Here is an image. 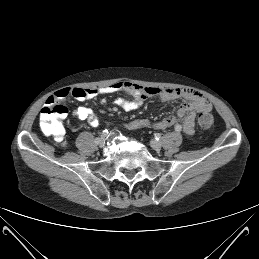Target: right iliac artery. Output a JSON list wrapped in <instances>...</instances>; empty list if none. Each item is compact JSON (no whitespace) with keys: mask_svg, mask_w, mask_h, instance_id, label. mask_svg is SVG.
<instances>
[{"mask_svg":"<svg viewBox=\"0 0 259 259\" xmlns=\"http://www.w3.org/2000/svg\"><path fill=\"white\" fill-rule=\"evenodd\" d=\"M99 136H97V135H95V136H93V138H92V140H93V142H98L99 141Z\"/></svg>","mask_w":259,"mask_h":259,"instance_id":"1","label":"right iliac artery"}]
</instances>
